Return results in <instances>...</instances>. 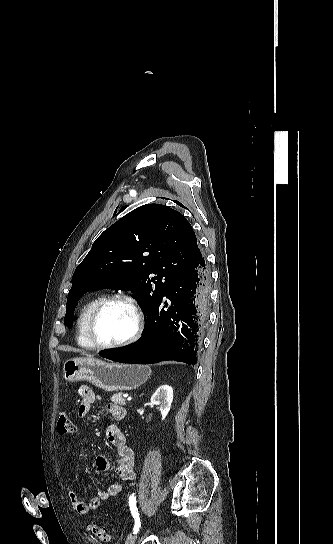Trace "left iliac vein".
Returning a JSON list of instances; mask_svg holds the SVG:
<instances>
[{
    "label": "left iliac vein",
    "mask_w": 333,
    "mask_h": 544,
    "mask_svg": "<svg viewBox=\"0 0 333 544\" xmlns=\"http://www.w3.org/2000/svg\"><path fill=\"white\" fill-rule=\"evenodd\" d=\"M136 538H137V533H134L132 535H129L126 539V542L125 544H135V541H136Z\"/></svg>",
    "instance_id": "1"
}]
</instances>
